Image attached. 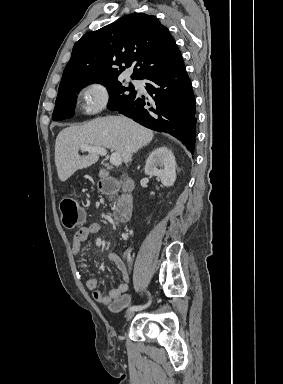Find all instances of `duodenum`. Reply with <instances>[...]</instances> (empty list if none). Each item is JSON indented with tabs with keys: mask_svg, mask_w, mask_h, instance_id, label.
Segmentation results:
<instances>
[{
	"mask_svg": "<svg viewBox=\"0 0 283 384\" xmlns=\"http://www.w3.org/2000/svg\"><path fill=\"white\" fill-rule=\"evenodd\" d=\"M109 176H110L109 173L104 174L105 178H108ZM108 187L109 189H111L110 185H108ZM132 208H133V195L131 194L130 191H126L120 197V200L113 211V215L119 222L125 223L131 218Z\"/></svg>",
	"mask_w": 283,
	"mask_h": 384,
	"instance_id": "410a0bca",
	"label": "duodenum"
}]
</instances>
